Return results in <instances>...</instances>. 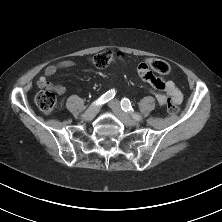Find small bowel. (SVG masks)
Masks as SVG:
<instances>
[{
	"mask_svg": "<svg viewBox=\"0 0 222 222\" xmlns=\"http://www.w3.org/2000/svg\"><path fill=\"white\" fill-rule=\"evenodd\" d=\"M74 66L75 63L72 61H61L57 64H51L47 66L45 69V76L40 77L38 80V86L40 88H46L48 90L55 91L60 95L64 94L66 92V88L61 84L51 83L48 78L54 76L60 69L72 68ZM137 75L139 79H142L153 86V92L161 106L165 105L166 96L172 99L175 104L181 103L182 94L174 82L165 80L161 76L152 74L151 70H139V67Z\"/></svg>",
	"mask_w": 222,
	"mask_h": 222,
	"instance_id": "c3829d8e",
	"label": "small bowel"
}]
</instances>
